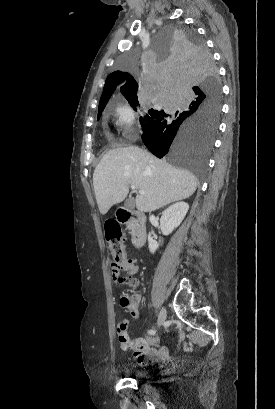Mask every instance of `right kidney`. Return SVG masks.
I'll list each match as a JSON object with an SVG mask.
<instances>
[{
	"instance_id": "right-kidney-1",
	"label": "right kidney",
	"mask_w": 275,
	"mask_h": 409,
	"mask_svg": "<svg viewBox=\"0 0 275 409\" xmlns=\"http://www.w3.org/2000/svg\"><path fill=\"white\" fill-rule=\"evenodd\" d=\"M189 205L187 202H175V205H171L168 207L166 211H163L162 217L160 219V229L163 235H170L176 227H179L180 223H182L186 213H188ZM152 233L148 235V245L150 253H155L157 251L159 245L157 241H155L154 237H151Z\"/></svg>"
}]
</instances>
